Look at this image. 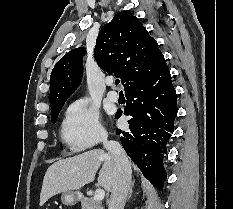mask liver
Returning <instances> with one entry per match:
<instances>
[{"mask_svg":"<svg viewBox=\"0 0 233 209\" xmlns=\"http://www.w3.org/2000/svg\"><path fill=\"white\" fill-rule=\"evenodd\" d=\"M101 164L98 184L111 192L115 180L113 157L104 150L94 149L59 160L47 169L40 194V206L56 194L74 192L92 182Z\"/></svg>","mask_w":233,"mask_h":209,"instance_id":"1","label":"liver"}]
</instances>
